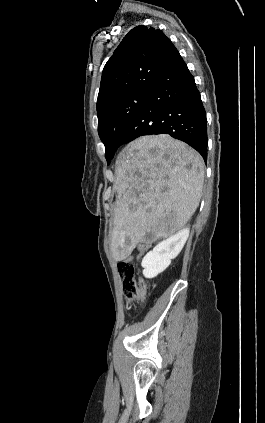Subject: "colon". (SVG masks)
I'll return each mask as SVG.
<instances>
[{"label":"colon","mask_w":265,"mask_h":423,"mask_svg":"<svg viewBox=\"0 0 265 423\" xmlns=\"http://www.w3.org/2000/svg\"><path fill=\"white\" fill-rule=\"evenodd\" d=\"M117 269L123 282L124 296L129 300L144 298L147 294V284L144 279L136 278L137 268L131 259L119 261Z\"/></svg>","instance_id":"5ec220e1"}]
</instances>
